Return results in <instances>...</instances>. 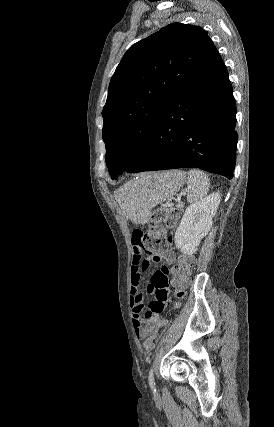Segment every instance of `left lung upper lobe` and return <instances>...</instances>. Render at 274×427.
<instances>
[{
  "instance_id": "1",
  "label": "left lung upper lobe",
  "mask_w": 274,
  "mask_h": 427,
  "mask_svg": "<svg viewBox=\"0 0 274 427\" xmlns=\"http://www.w3.org/2000/svg\"><path fill=\"white\" fill-rule=\"evenodd\" d=\"M212 47L201 27L173 23L125 53L111 78L102 111L111 177L140 157L166 108Z\"/></svg>"
}]
</instances>
